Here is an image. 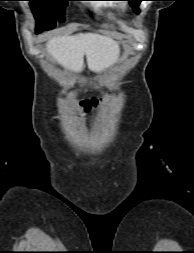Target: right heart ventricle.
Instances as JSON below:
<instances>
[{
    "instance_id": "right-heart-ventricle-1",
    "label": "right heart ventricle",
    "mask_w": 194,
    "mask_h": 253,
    "mask_svg": "<svg viewBox=\"0 0 194 253\" xmlns=\"http://www.w3.org/2000/svg\"><path fill=\"white\" fill-rule=\"evenodd\" d=\"M93 7L97 11H102V10L116 11L120 9V6L115 3H97V4H94Z\"/></svg>"
}]
</instances>
